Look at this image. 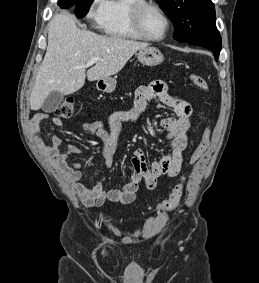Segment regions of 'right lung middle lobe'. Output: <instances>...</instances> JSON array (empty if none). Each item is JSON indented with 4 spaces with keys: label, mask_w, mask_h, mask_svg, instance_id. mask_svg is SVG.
<instances>
[{
    "label": "right lung middle lobe",
    "mask_w": 259,
    "mask_h": 283,
    "mask_svg": "<svg viewBox=\"0 0 259 283\" xmlns=\"http://www.w3.org/2000/svg\"><path fill=\"white\" fill-rule=\"evenodd\" d=\"M75 5L74 13L78 18H83L94 0H73Z\"/></svg>",
    "instance_id": "obj_1"
}]
</instances>
